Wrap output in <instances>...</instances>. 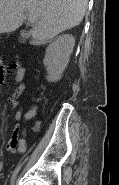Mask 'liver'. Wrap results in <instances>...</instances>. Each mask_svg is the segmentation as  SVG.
Wrapping results in <instances>:
<instances>
[{
	"mask_svg": "<svg viewBox=\"0 0 119 185\" xmlns=\"http://www.w3.org/2000/svg\"><path fill=\"white\" fill-rule=\"evenodd\" d=\"M88 0H0V34L18 29L27 20L34 44H45L79 25Z\"/></svg>",
	"mask_w": 119,
	"mask_h": 185,
	"instance_id": "obj_1",
	"label": "liver"
}]
</instances>
